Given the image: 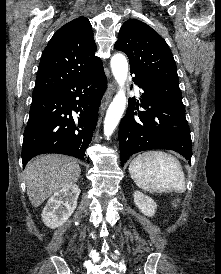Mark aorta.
<instances>
[{
    "label": "aorta",
    "mask_w": 221,
    "mask_h": 274,
    "mask_svg": "<svg viewBox=\"0 0 221 274\" xmlns=\"http://www.w3.org/2000/svg\"><path fill=\"white\" fill-rule=\"evenodd\" d=\"M113 76L119 90L109 105L104 120V135L109 138L117 127L126 106L125 82L128 74V62L125 56L117 53L111 58Z\"/></svg>",
    "instance_id": "obj_1"
}]
</instances>
